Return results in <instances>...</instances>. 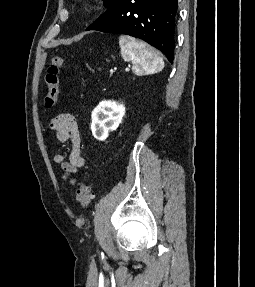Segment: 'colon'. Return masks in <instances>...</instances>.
Instances as JSON below:
<instances>
[{
	"label": "colon",
	"instance_id": "obj_1",
	"mask_svg": "<svg viewBox=\"0 0 255 287\" xmlns=\"http://www.w3.org/2000/svg\"><path fill=\"white\" fill-rule=\"evenodd\" d=\"M65 66V60L59 55L52 57L46 75L44 77V83L47 87V92L44 96L45 106L50 108L55 105L58 93H59V75L61 69ZM76 198L78 202L85 208L90 205L92 194L90 187L81 183L76 191Z\"/></svg>",
	"mask_w": 255,
	"mask_h": 287
}]
</instances>
